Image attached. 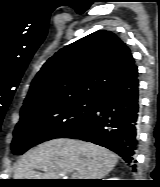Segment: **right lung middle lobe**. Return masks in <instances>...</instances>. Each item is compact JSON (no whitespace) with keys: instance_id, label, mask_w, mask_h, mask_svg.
Returning <instances> with one entry per match:
<instances>
[{"instance_id":"dd1d6c3e","label":"right lung middle lobe","mask_w":160,"mask_h":187,"mask_svg":"<svg viewBox=\"0 0 160 187\" xmlns=\"http://www.w3.org/2000/svg\"><path fill=\"white\" fill-rule=\"evenodd\" d=\"M96 102V98H79L21 112L13 133V153L21 155L37 144L65 137L93 114Z\"/></svg>"}]
</instances>
